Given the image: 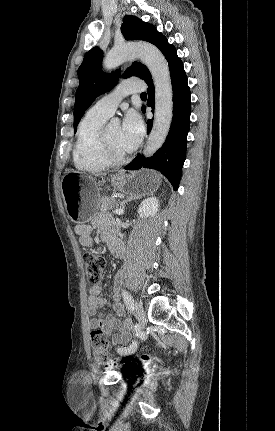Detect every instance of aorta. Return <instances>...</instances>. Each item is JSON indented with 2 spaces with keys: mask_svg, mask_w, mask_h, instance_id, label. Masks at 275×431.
<instances>
[{
  "mask_svg": "<svg viewBox=\"0 0 275 431\" xmlns=\"http://www.w3.org/2000/svg\"><path fill=\"white\" fill-rule=\"evenodd\" d=\"M139 58L149 69L155 86V112L153 127L148 136L144 155L152 156L165 142L173 117V90L168 62L164 55L150 44H128L114 47L103 61L106 69Z\"/></svg>",
  "mask_w": 275,
  "mask_h": 431,
  "instance_id": "1",
  "label": "aorta"
}]
</instances>
